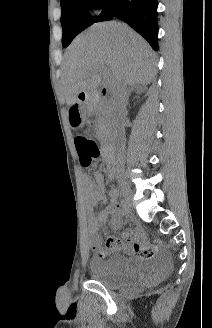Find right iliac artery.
<instances>
[{"mask_svg":"<svg viewBox=\"0 0 212 328\" xmlns=\"http://www.w3.org/2000/svg\"><path fill=\"white\" fill-rule=\"evenodd\" d=\"M121 206H122V208H124V209H125L126 205H125V202H124V200H122V201H121Z\"/></svg>","mask_w":212,"mask_h":328,"instance_id":"obj_1","label":"right iliac artery"}]
</instances>
